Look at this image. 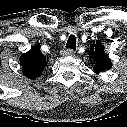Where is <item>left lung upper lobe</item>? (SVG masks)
<instances>
[{
  "label": "left lung upper lobe",
  "instance_id": "1",
  "mask_svg": "<svg viewBox=\"0 0 127 127\" xmlns=\"http://www.w3.org/2000/svg\"><path fill=\"white\" fill-rule=\"evenodd\" d=\"M91 62L94 64L96 73L104 72L112 67L111 60L108 55L104 53V46L101 42H94L88 51Z\"/></svg>",
  "mask_w": 127,
  "mask_h": 127
}]
</instances>
